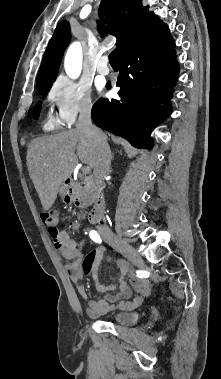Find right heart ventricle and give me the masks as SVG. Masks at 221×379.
Segmentation results:
<instances>
[{"instance_id": "e07e8e85", "label": "right heart ventricle", "mask_w": 221, "mask_h": 379, "mask_svg": "<svg viewBox=\"0 0 221 379\" xmlns=\"http://www.w3.org/2000/svg\"><path fill=\"white\" fill-rule=\"evenodd\" d=\"M59 125H60V121L54 116H52L51 114H48L44 120L43 129L46 131H51L58 128Z\"/></svg>"}]
</instances>
